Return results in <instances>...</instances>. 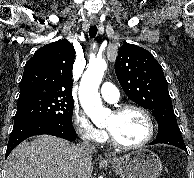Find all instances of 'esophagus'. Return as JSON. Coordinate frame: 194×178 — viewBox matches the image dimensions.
Returning a JSON list of instances; mask_svg holds the SVG:
<instances>
[{
	"instance_id": "1",
	"label": "esophagus",
	"mask_w": 194,
	"mask_h": 178,
	"mask_svg": "<svg viewBox=\"0 0 194 178\" xmlns=\"http://www.w3.org/2000/svg\"><path fill=\"white\" fill-rule=\"evenodd\" d=\"M90 23H91L92 25L96 24V22H94V21H91ZM107 157H110V156H107Z\"/></svg>"
}]
</instances>
